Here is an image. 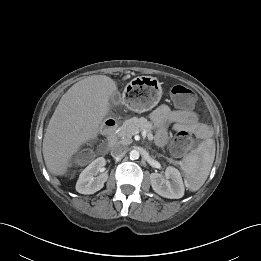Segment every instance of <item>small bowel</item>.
Masks as SVG:
<instances>
[{"label":"small bowel","instance_id":"c3829d8e","mask_svg":"<svg viewBox=\"0 0 261 261\" xmlns=\"http://www.w3.org/2000/svg\"><path fill=\"white\" fill-rule=\"evenodd\" d=\"M150 119L157 128L155 141L159 146L167 143L170 124L175 131H188L198 138L205 139L211 135L210 127L200 122L196 113L191 110H176L163 104L151 113Z\"/></svg>","mask_w":261,"mask_h":261}]
</instances>
